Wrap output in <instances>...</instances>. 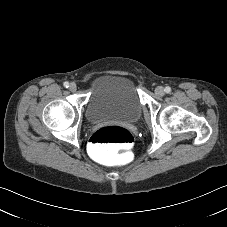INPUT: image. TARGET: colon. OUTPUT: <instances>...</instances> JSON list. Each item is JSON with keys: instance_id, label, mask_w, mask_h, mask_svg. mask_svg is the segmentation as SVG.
<instances>
[{"instance_id": "1", "label": "colon", "mask_w": 227, "mask_h": 227, "mask_svg": "<svg viewBox=\"0 0 227 227\" xmlns=\"http://www.w3.org/2000/svg\"><path fill=\"white\" fill-rule=\"evenodd\" d=\"M132 133L122 126H107L96 131L90 138L89 148L93 156L104 164L122 160L133 146Z\"/></svg>"}]
</instances>
